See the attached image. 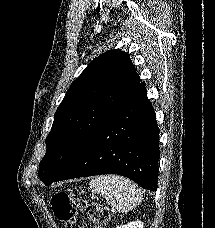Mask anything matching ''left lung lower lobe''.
Masks as SVG:
<instances>
[{
    "label": "left lung lower lobe",
    "mask_w": 215,
    "mask_h": 228,
    "mask_svg": "<svg viewBox=\"0 0 215 228\" xmlns=\"http://www.w3.org/2000/svg\"><path fill=\"white\" fill-rule=\"evenodd\" d=\"M159 128L153 107L140 83L126 102L102 125L71 164L44 182L102 174L125 176L144 189L157 190Z\"/></svg>",
    "instance_id": "1"
}]
</instances>
